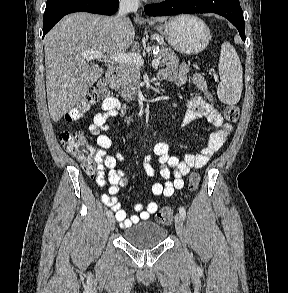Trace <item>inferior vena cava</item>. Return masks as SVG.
Listing matches in <instances>:
<instances>
[{"label":"inferior vena cava","mask_w":288,"mask_h":293,"mask_svg":"<svg viewBox=\"0 0 288 293\" xmlns=\"http://www.w3.org/2000/svg\"><path fill=\"white\" fill-rule=\"evenodd\" d=\"M139 7V0H120L119 10L116 16L117 20H122L129 12H136Z\"/></svg>","instance_id":"1"}]
</instances>
